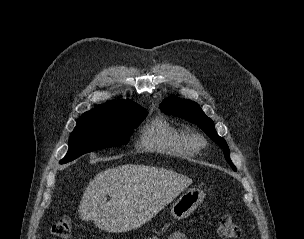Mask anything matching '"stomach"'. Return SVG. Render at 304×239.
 Segmentation results:
<instances>
[{"instance_id": "stomach-1", "label": "stomach", "mask_w": 304, "mask_h": 239, "mask_svg": "<svg viewBox=\"0 0 304 239\" xmlns=\"http://www.w3.org/2000/svg\"><path fill=\"white\" fill-rule=\"evenodd\" d=\"M205 193L200 188H192L184 192L170 208V214L175 219L189 216L204 200Z\"/></svg>"}]
</instances>
